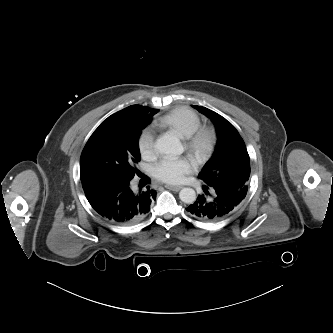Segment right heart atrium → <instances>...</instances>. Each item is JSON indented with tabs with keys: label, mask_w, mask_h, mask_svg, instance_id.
<instances>
[{
	"label": "right heart atrium",
	"mask_w": 333,
	"mask_h": 333,
	"mask_svg": "<svg viewBox=\"0 0 333 333\" xmlns=\"http://www.w3.org/2000/svg\"><path fill=\"white\" fill-rule=\"evenodd\" d=\"M140 155L144 159H151L156 153L155 139L150 131H144L138 141Z\"/></svg>",
	"instance_id": "right-heart-atrium-1"
}]
</instances>
